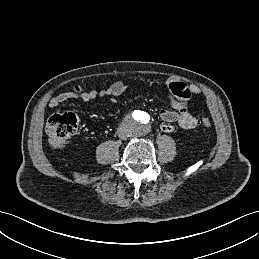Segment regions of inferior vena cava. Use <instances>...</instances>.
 <instances>
[{
  "instance_id": "inferior-vena-cava-1",
  "label": "inferior vena cava",
  "mask_w": 259,
  "mask_h": 259,
  "mask_svg": "<svg viewBox=\"0 0 259 259\" xmlns=\"http://www.w3.org/2000/svg\"><path fill=\"white\" fill-rule=\"evenodd\" d=\"M118 134L121 139H126L127 137H129L127 133H123L122 131H119Z\"/></svg>"
}]
</instances>
